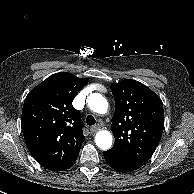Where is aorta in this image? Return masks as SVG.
Here are the masks:
<instances>
[{"instance_id":"obj_1","label":"aorta","mask_w":194,"mask_h":194,"mask_svg":"<svg viewBox=\"0 0 194 194\" xmlns=\"http://www.w3.org/2000/svg\"><path fill=\"white\" fill-rule=\"evenodd\" d=\"M89 108L99 114H104L107 111V100L99 93H92L87 98ZM112 135L109 131L101 130L96 133V145L102 150H108L112 146Z\"/></svg>"}]
</instances>
